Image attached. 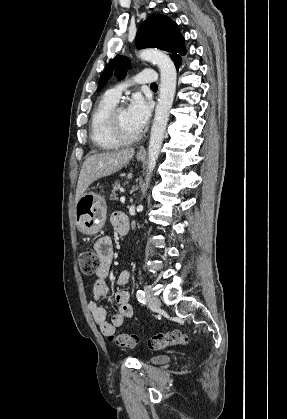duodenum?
Here are the masks:
<instances>
[{"label":"duodenum","instance_id":"obj_1","mask_svg":"<svg viewBox=\"0 0 287 419\" xmlns=\"http://www.w3.org/2000/svg\"><path fill=\"white\" fill-rule=\"evenodd\" d=\"M128 230H129V225H123L122 227L118 229V232L120 235H125L127 234Z\"/></svg>","mask_w":287,"mask_h":419}]
</instances>
